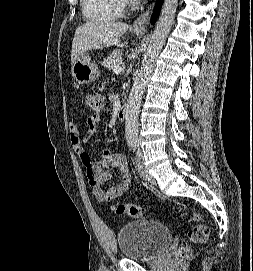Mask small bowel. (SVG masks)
Returning a JSON list of instances; mask_svg holds the SVG:
<instances>
[{
	"label": "small bowel",
	"mask_w": 253,
	"mask_h": 271,
	"mask_svg": "<svg viewBox=\"0 0 253 271\" xmlns=\"http://www.w3.org/2000/svg\"><path fill=\"white\" fill-rule=\"evenodd\" d=\"M100 116L91 115L86 119L85 137L80 136L79 128L71 123L68 126L70 144L76 157L85 165L86 175L93 195L99 202H109L124 194L131 183L126 158L119 153L106 150L101 158L91 159L83 149L82 143L92 138L99 129ZM118 171V182L109 189L103 184L111 179L112 171Z\"/></svg>",
	"instance_id": "c3829d8e"
}]
</instances>
